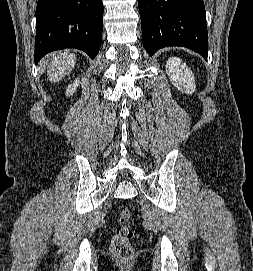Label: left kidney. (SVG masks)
<instances>
[{
    "label": "left kidney",
    "instance_id": "obj_1",
    "mask_svg": "<svg viewBox=\"0 0 253 271\" xmlns=\"http://www.w3.org/2000/svg\"><path fill=\"white\" fill-rule=\"evenodd\" d=\"M166 73L173 85L183 93L195 91V79L189 67L178 57H170L166 63Z\"/></svg>",
    "mask_w": 253,
    "mask_h": 271
}]
</instances>
